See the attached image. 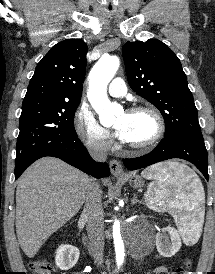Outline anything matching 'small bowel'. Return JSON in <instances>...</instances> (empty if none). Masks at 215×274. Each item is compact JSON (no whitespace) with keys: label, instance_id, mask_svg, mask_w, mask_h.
Returning <instances> with one entry per match:
<instances>
[{"label":"small bowel","instance_id":"obj_1","mask_svg":"<svg viewBox=\"0 0 215 274\" xmlns=\"http://www.w3.org/2000/svg\"><path fill=\"white\" fill-rule=\"evenodd\" d=\"M154 272H155V273L173 274V273H169L167 267L164 266V265H160V266L156 267V268L154 269ZM64 274H66V273H64Z\"/></svg>","mask_w":215,"mask_h":274}]
</instances>
